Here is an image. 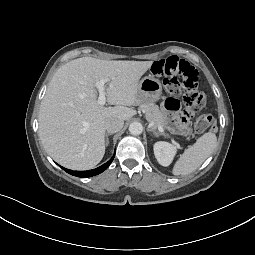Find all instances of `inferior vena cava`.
<instances>
[{"label": "inferior vena cava", "instance_id": "inferior-vena-cava-1", "mask_svg": "<svg viewBox=\"0 0 255 255\" xmlns=\"http://www.w3.org/2000/svg\"><path fill=\"white\" fill-rule=\"evenodd\" d=\"M124 121L118 118H109L105 122V129L108 133H116L122 129Z\"/></svg>", "mask_w": 255, "mask_h": 255}]
</instances>
